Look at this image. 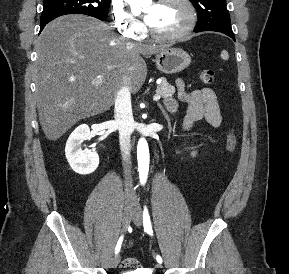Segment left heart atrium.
Returning a JSON list of instances; mask_svg holds the SVG:
<instances>
[{"mask_svg":"<svg viewBox=\"0 0 289 274\" xmlns=\"http://www.w3.org/2000/svg\"><path fill=\"white\" fill-rule=\"evenodd\" d=\"M151 18H152L151 14L148 13V14H146V16H145V21L149 24L150 21H151Z\"/></svg>","mask_w":289,"mask_h":274,"instance_id":"obj_1","label":"left heart atrium"}]
</instances>
